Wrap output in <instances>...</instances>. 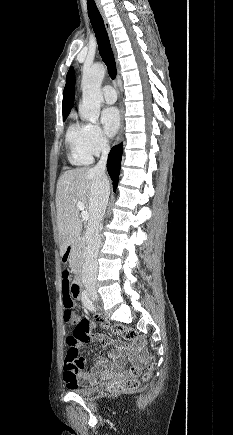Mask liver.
Segmentation results:
<instances>
[{"mask_svg": "<svg viewBox=\"0 0 233 435\" xmlns=\"http://www.w3.org/2000/svg\"><path fill=\"white\" fill-rule=\"evenodd\" d=\"M93 178L91 169L82 167L67 170L58 179L55 201L61 256L68 245L80 236L82 223L77 202H83L85 209L89 211Z\"/></svg>", "mask_w": 233, "mask_h": 435, "instance_id": "1", "label": "liver"}]
</instances>
